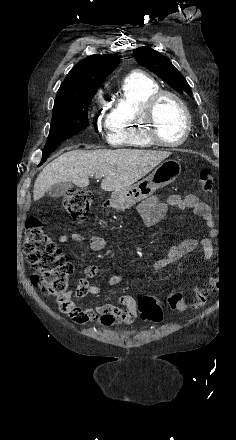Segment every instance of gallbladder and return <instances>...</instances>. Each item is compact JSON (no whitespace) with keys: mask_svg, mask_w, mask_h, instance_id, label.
<instances>
[{"mask_svg":"<svg viewBox=\"0 0 236 440\" xmlns=\"http://www.w3.org/2000/svg\"><path fill=\"white\" fill-rule=\"evenodd\" d=\"M73 187L74 186L71 182L57 183L48 189L47 195L50 198L56 199L64 196L68 192V190L72 189Z\"/></svg>","mask_w":236,"mask_h":440,"instance_id":"gallbladder-1","label":"gallbladder"}]
</instances>
